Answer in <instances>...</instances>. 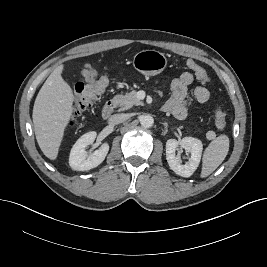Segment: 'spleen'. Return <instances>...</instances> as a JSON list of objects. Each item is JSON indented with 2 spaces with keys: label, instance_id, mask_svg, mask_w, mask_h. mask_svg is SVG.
<instances>
[{
  "label": "spleen",
  "instance_id": "1",
  "mask_svg": "<svg viewBox=\"0 0 267 267\" xmlns=\"http://www.w3.org/2000/svg\"><path fill=\"white\" fill-rule=\"evenodd\" d=\"M228 151V136L223 134L215 138L204 151L200 176H209L224 161Z\"/></svg>",
  "mask_w": 267,
  "mask_h": 267
}]
</instances>
